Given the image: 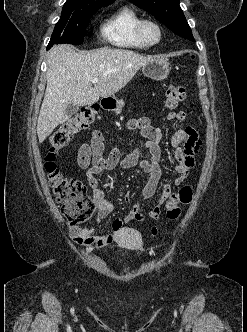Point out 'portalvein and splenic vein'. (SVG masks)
Listing matches in <instances>:
<instances>
[{"mask_svg": "<svg viewBox=\"0 0 247 332\" xmlns=\"http://www.w3.org/2000/svg\"><path fill=\"white\" fill-rule=\"evenodd\" d=\"M97 82H98V79H97V78L91 80V83H92V84H95V83H97Z\"/></svg>", "mask_w": 247, "mask_h": 332, "instance_id": "18ae733b", "label": "portal vein and splenic vein"}]
</instances>
